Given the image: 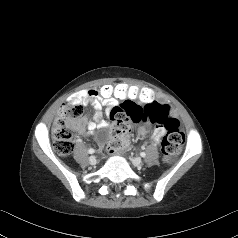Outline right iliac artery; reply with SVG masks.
Wrapping results in <instances>:
<instances>
[{
	"mask_svg": "<svg viewBox=\"0 0 238 238\" xmlns=\"http://www.w3.org/2000/svg\"><path fill=\"white\" fill-rule=\"evenodd\" d=\"M94 152H95V150L92 149V148L88 150V153H89V154H93Z\"/></svg>",
	"mask_w": 238,
	"mask_h": 238,
	"instance_id": "obj_1",
	"label": "right iliac artery"
}]
</instances>
